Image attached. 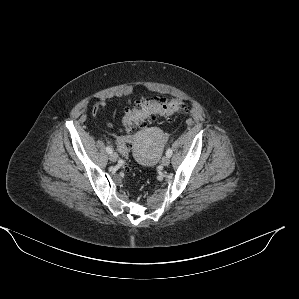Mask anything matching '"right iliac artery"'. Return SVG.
I'll use <instances>...</instances> for the list:
<instances>
[{
	"mask_svg": "<svg viewBox=\"0 0 299 299\" xmlns=\"http://www.w3.org/2000/svg\"><path fill=\"white\" fill-rule=\"evenodd\" d=\"M106 151H107V153H112L113 152V150H112V148L110 147V146H107L106 147Z\"/></svg>",
	"mask_w": 299,
	"mask_h": 299,
	"instance_id": "obj_1",
	"label": "right iliac artery"
}]
</instances>
